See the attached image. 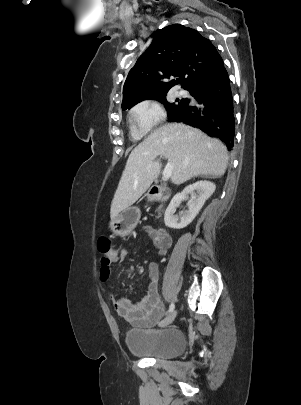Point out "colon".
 Listing matches in <instances>:
<instances>
[{"label": "colon", "instance_id": "obj_1", "mask_svg": "<svg viewBox=\"0 0 301 405\" xmlns=\"http://www.w3.org/2000/svg\"><path fill=\"white\" fill-rule=\"evenodd\" d=\"M98 250L102 256V258H107L110 254L112 248L109 240L106 237H101L98 240Z\"/></svg>", "mask_w": 301, "mask_h": 405}]
</instances>
